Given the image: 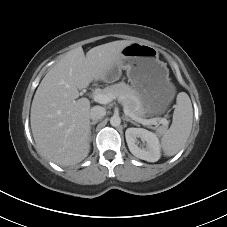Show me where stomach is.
Segmentation results:
<instances>
[{"label":"stomach","instance_id":"obj_1","mask_svg":"<svg viewBox=\"0 0 227 227\" xmlns=\"http://www.w3.org/2000/svg\"><path fill=\"white\" fill-rule=\"evenodd\" d=\"M126 70L132 88L138 93L145 117L159 116L166 112L176 89L169 78L166 63L159 60L153 46L132 42L121 51V59L106 75V82H114Z\"/></svg>","mask_w":227,"mask_h":227}]
</instances>
